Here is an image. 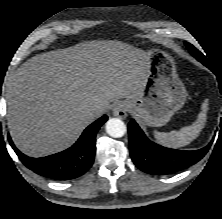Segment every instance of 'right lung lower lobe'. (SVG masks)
Masks as SVG:
<instances>
[{
	"instance_id": "right-lung-lower-lobe-1",
	"label": "right lung lower lobe",
	"mask_w": 222,
	"mask_h": 219,
	"mask_svg": "<svg viewBox=\"0 0 222 219\" xmlns=\"http://www.w3.org/2000/svg\"><path fill=\"white\" fill-rule=\"evenodd\" d=\"M107 119L106 115L102 116L84 130L72 147L47 157H28L14 146L9 135L8 140L22 163L38 175L54 180L74 179L92 166L96 152V133Z\"/></svg>"
}]
</instances>
